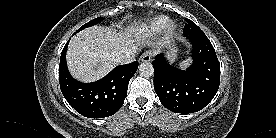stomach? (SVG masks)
Instances as JSON below:
<instances>
[{
  "label": "stomach",
  "instance_id": "1",
  "mask_svg": "<svg viewBox=\"0 0 276 138\" xmlns=\"http://www.w3.org/2000/svg\"><path fill=\"white\" fill-rule=\"evenodd\" d=\"M168 58L171 61H174L177 58V49L174 45L170 44L168 46V52H167Z\"/></svg>",
  "mask_w": 276,
  "mask_h": 138
}]
</instances>
